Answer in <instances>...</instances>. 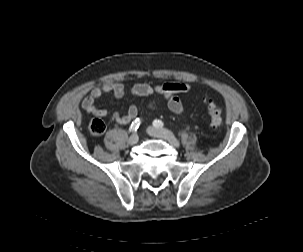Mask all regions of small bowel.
Returning <instances> with one entry per match:
<instances>
[{
	"label": "small bowel",
	"mask_w": 303,
	"mask_h": 252,
	"mask_svg": "<svg viewBox=\"0 0 303 252\" xmlns=\"http://www.w3.org/2000/svg\"><path fill=\"white\" fill-rule=\"evenodd\" d=\"M189 91L190 86L183 82H169L161 85L138 83L133 86L131 93L133 96H150L156 94L167 101L170 111L175 114H181L184 111V105L179 95ZM107 93H112V95L119 100L125 95V87L122 83L113 81H107L101 85H97L91 90L90 94L83 99L82 108L95 117L110 116L114 121L122 125L134 122L136 119L141 120L138 116V108L135 105L130 106L123 115L118 112H110L98 108L96 106V100ZM154 104V101H150L148 108L153 109Z\"/></svg>",
	"instance_id": "1"
}]
</instances>
